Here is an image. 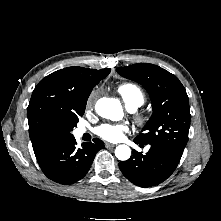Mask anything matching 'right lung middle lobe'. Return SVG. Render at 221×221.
<instances>
[{
    "label": "right lung middle lobe",
    "mask_w": 221,
    "mask_h": 221,
    "mask_svg": "<svg viewBox=\"0 0 221 221\" xmlns=\"http://www.w3.org/2000/svg\"><path fill=\"white\" fill-rule=\"evenodd\" d=\"M85 107L86 105H84L78 112L76 115L71 116L70 120H69V125H68V130H67V135L68 136H72V134L70 133L71 130L76 126L77 122H78V117L82 116L84 114L85 111Z\"/></svg>",
    "instance_id": "right-lung-middle-lobe-1"
}]
</instances>
